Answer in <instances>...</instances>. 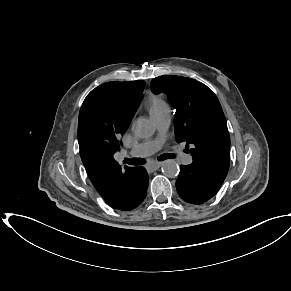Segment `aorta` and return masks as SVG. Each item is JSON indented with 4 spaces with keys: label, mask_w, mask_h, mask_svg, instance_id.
I'll use <instances>...</instances> for the list:
<instances>
[{
    "label": "aorta",
    "mask_w": 291,
    "mask_h": 291,
    "mask_svg": "<svg viewBox=\"0 0 291 291\" xmlns=\"http://www.w3.org/2000/svg\"><path fill=\"white\" fill-rule=\"evenodd\" d=\"M132 131L134 135L140 138H148L154 134V126L148 119H137L133 126ZM163 174L169 178H175L179 174L178 164L172 160H166L161 167Z\"/></svg>",
    "instance_id": "aorta-1"
}]
</instances>
